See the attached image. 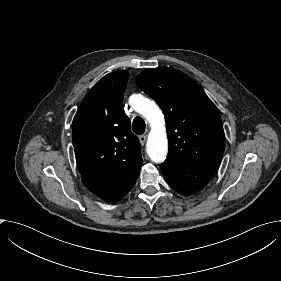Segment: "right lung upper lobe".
Here are the masks:
<instances>
[{
  "label": "right lung upper lobe",
  "instance_id": "cb5924a9",
  "mask_svg": "<svg viewBox=\"0 0 281 281\" xmlns=\"http://www.w3.org/2000/svg\"><path fill=\"white\" fill-rule=\"evenodd\" d=\"M128 77L126 70L104 76L85 96L73 120L82 182L100 198L142 163L140 142L122 108Z\"/></svg>",
  "mask_w": 281,
  "mask_h": 281
}]
</instances>
